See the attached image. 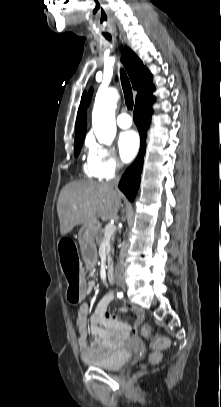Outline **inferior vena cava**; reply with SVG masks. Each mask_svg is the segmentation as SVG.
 Returning a JSON list of instances; mask_svg holds the SVG:
<instances>
[{
  "mask_svg": "<svg viewBox=\"0 0 221 407\" xmlns=\"http://www.w3.org/2000/svg\"><path fill=\"white\" fill-rule=\"evenodd\" d=\"M122 164H118V170L121 169ZM120 181V175H117L113 180H111L109 182V185H111L112 187L117 186L118 183ZM126 255V249L122 248L121 252H120V259H119V263L116 267L115 273L117 275L121 274L124 271V267H125V263H124V258Z\"/></svg>",
  "mask_w": 221,
  "mask_h": 407,
  "instance_id": "inferior-vena-cava-1",
  "label": "inferior vena cava"
}]
</instances>
